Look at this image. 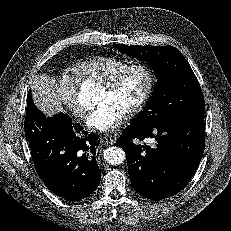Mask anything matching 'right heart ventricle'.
<instances>
[{
	"instance_id": "1",
	"label": "right heart ventricle",
	"mask_w": 231,
	"mask_h": 231,
	"mask_svg": "<svg viewBox=\"0 0 231 231\" xmlns=\"http://www.w3.org/2000/svg\"><path fill=\"white\" fill-rule=\"evenodd\" d=\"M128 65L129 61L119 57L99 56L78 62L71 69L79 80L101 85Z\"/></svg>"
}]
</instances>
